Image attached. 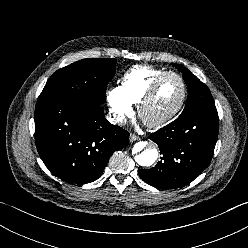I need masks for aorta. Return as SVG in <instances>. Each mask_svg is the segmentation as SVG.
<instances>
[{
	"mask_svg": "<svg viewBox=\"0 0 248 248\" xmlns=\"http://www.w3.org/2000/svg\"><path fill=\"white\" fill-rule=\"evenodd\" d=\"M148 143L145 141L137 142L133 147V154H135V161L144 167H149L158 158V151L155 148H147Z\"/></svg>",
	"mask_w": 248,
	"mask_h": 248,
	"instance_id": "762f6f07",
	"label": "aorta"
}]
</instances>
